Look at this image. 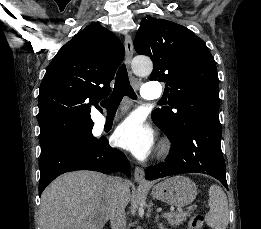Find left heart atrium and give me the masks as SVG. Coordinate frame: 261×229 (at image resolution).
I'll use <instances>...</instances> for the list:
<instances>
[{
	"label": "left heart atrium",
	"instance_id": "1",
	"mask_svg": "<svg viewBox=\"0 0 261 229\" xmlns=\"http://www.w3.org/2000/svg\"><path fill=\"white\" fill-rule=\"evenodd\" d=\"M112 138L115 145L132 152L137 157L147 156L155 142L152 127L135 115L120 123Z\"/></svg>",
	"mask_w": 261,
	"mask_h": 229
}]
</instances>
